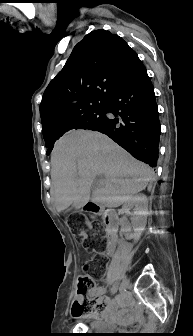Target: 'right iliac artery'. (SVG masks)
<instances>
[{
  "instance_id": "82829eb1",
  "label": "right iliac artery",
  "mask_w": 193,
  "mask_h": 336,
  "mask_svg": "<svg viewBox=\"0 0 193 336\" xmlns=\"http://www.w3.org/2000/svg\"><path fill=\"white\" fill-rule=\"evenodd\" d=\"M117 288H118V285H114V286H113V290H114V291H116ZM120 297H121V295H120V294H117V295L115 296V300H119Z\"/></svg>"
}]
</instances>
